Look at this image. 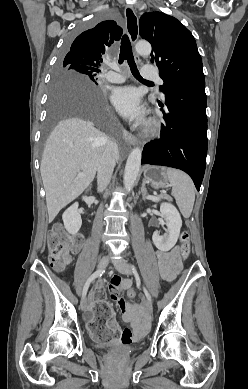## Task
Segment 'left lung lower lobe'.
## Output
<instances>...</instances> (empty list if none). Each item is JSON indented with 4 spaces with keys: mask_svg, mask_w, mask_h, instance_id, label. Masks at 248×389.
Wrapping results in <instances>:
<instances>
[{
    "mask_svg": "<svg viewBox=\"0 0 248 389\" xmlns=\"http://www.w3.org/2000/svg\"><path fill=\"white\" fill-rule=\"evenodd\" d=\"M158 105L166 126H162L160 139L145 144L142 163L181 169L199 191L207 155L205 79L176 84L165 93V108L160 101Z\"/></svg>",
    "mask_w": 248,
    "mask_h": 389,
    "instance_id": "1",
    "label": "left lung lower lobe"
}]
</instances>
